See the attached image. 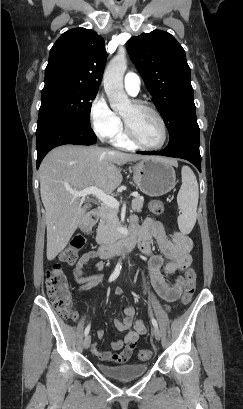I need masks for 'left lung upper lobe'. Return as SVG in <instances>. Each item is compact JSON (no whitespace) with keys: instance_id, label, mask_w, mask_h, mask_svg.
<instances>
[{"instance_id":"5c2ea615","label":"left lung upper lobe","mask_w":243,"mask_h":409,"mask_svg":"<svg viewBox=\"0 0 243 409\" xmlns=\"http://www.w3.org/2000/svg\"><path fill=\"white\" fill-rule=\"evenodd\" d=\"M127 50L171 136L196 109L184 49L170 33L154 30L132 37Z\"/></svg>"}]
</instances>
